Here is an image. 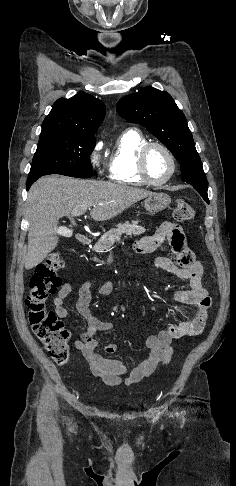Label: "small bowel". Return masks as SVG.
I'll use <instances>...</instances> for the list:
<instances>
[{
    "label": "small bowel",
    "instance_id": "1",
    "mask_svg": "<svg viewBox=\"0 0 236 486\" xmlns=\"http://www.w3.org/2000/svg\"><path fill=\"white\" fill-rule=\"evenodd\" d=\"M169 245L176 255V262L168 258H157L152 264V270H163L188 282L189 289L177 291L174 299L193 308L190 316L182 322L168 325L165 329L146 339L147 356L139 363H132L130 367L113 358L103 357L97 353L98 341L96 335L113 329V324L97 318L90 309L93 284L86 281L78 291L76 309L88 322L85 331L79 333L80 338L75 341V347L87 361L92 374L108 386L120 384H135L149 377L158 368L166 366L172 357V342L184 336H196L203 332L208 319V309L211 304L207 290L202 283L203 268L187 247L185 235L181 227L173 222H163L156 231L135 242L137 253L146 254ZM114 289V283L108 281L98 288L100 295H107ZM72 287L65 283L53 300L55 313L64 319L68 316L65 299ZM116 350L115 344L105 347L106 354Z\"/></svg>",
    "mask_w": 236,
    "mask_h": 486
}]
</instances>
